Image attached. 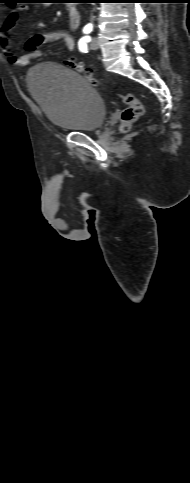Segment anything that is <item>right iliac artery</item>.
Here are the masks:
<instances>
[{"label":"right iliac artery","mask_w":190,"mask_h":483,"mask_svg":"<svg viewBox=\"0 0 190 483\" xmlns=\"http://www.w3.org/2000/svg\"><path fill=\"white\" fill-rule=\"evenodd\" d=\"M92 31V26L91 25H86L84 28H83V32L85 34H88Z\"/></svg>","instance_id":"right-iliac-artery-1"}]
</instances>
